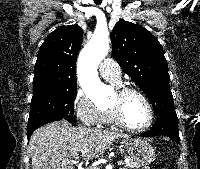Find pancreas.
Instances as JSON below:
<instances>
[{
	"instance_id": "pancreas-1",
	"label": "pancreas",
	"mask_w": 200,
	"mask_h": 169,
	"mask_svg": "<svg viewBox=\"0 0 200 169\" xmlns=\"http://www.w3.org/2000/svg\"><path fill=\"white\" fill-rule=\"evenodd\" d=\"M138 168L137 164H135L131 159L129 160V162L125 163V166L122 167L121 169H135ZM98 169V168H95Z\"/></svg>"
}]
</instances>
